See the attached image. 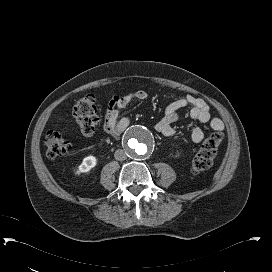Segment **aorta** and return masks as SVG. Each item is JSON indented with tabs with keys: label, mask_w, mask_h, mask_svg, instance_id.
Here are the masks:
<instances>
[{
	"label": "aorta",
	"mask_w": 272,
	"mask_h": 272,
	"mask_svg": "<svg viewBox=\"0 0 272 272\" xmlns=\"http://www.w3.org/2000/svg\"><path fill=\"white\" fill-rule=\"evenodd\" d=\"M124 143L130 157L141 159L152 151L154 137L146 127L136 125L127 130Z\"/></svg>",
	"instance_id": "1"
}]
</instances>
